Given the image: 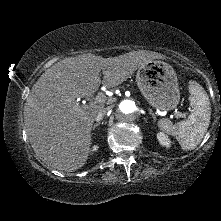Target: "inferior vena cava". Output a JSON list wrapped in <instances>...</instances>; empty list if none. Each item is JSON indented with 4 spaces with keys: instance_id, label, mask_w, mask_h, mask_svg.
<instances>
[{
    "instance_id": "1",
    "label": "inferior vena cava",
    "mask_w": 221,
    "mask_h": 221,
    "mask_svg": "<svg viewBox=\"0 0 221 221\" xmlns=\"http://www.w3.org/2000/svg\"><path fill=\"white\" fill-rule=\"evenodd\" d=\"M109 107L102 108L95 117L97 122L101 121L103 117L108 113Z\"/></svg>"
}]
</instances>
